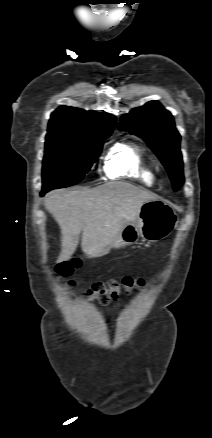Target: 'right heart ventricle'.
<instances>
[{
	"mask_svg": "<svg viewBox=\"0 0 212 438\" xmlns=\"http://www.w3.org/2000/svg\"><path fill=\"white\" fill-rule=\"evenodd\" d=\"M104 171L111 178L129 177L153 186L155 170L147 163L139 146L132 143H117L106 154Z\"/></svg>",
	"mask_w": 212,
	"mask_h": 438,
	"instance_id": "obj_1",
	"label": "right heart ventricle"
}]
</instances>
